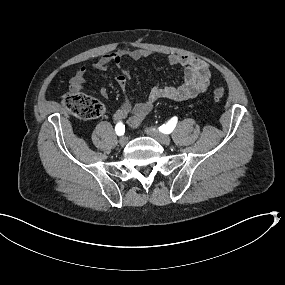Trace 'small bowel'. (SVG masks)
Instances as JSON below:
<instances>
[{"instance_id": "1", "label": "small bowel", "mask_w": 285, "mask_h": 285, "mask_svg": "<svg viewBox=\"0 0 285 285\" xmlns=\"http://www.w3.org/2000/svg\"><path fill=\"white\" fill-rule=\"evenodd\" d=\"M150 56V52L145 49H118L112 53L103 55L95 64L94 68L104 71L110 64H114L121 69V74L117 77L118 85L125 90L128 81V71L122 69V61L125 58L137 61ZM168 62L171 65L185 68L184 81L178 86H155L148 93L147 98L139 103L133 104L128 98L113 114L115 121H121L129 115L128 123L132 128H137L145 117L151 112L155 103L161 99L173 101H183L196 97L207 90L210 85L212 74L207 62L191 55L170 54ZM85 67L79 68L70 81V91L80 92L86 84ZM103 98H108L109 92L105 87L99 90Z\"/></svg>"}]
</instances>
